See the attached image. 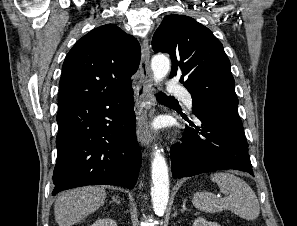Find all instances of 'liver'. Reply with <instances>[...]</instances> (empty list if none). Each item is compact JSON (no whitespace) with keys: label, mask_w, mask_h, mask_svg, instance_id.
<instances>
[{"label":"liver","mask_w":297,"mask_h":226,"mask_svg":"<svg viewBox=\"0 0 297 226\" xmlns=\"http://www.w3.org/2000/svg\"><path fill=\"white\" fill-rule=\"evenodd\" d=\"M105 198V190L96 186L64 192L54 205L55 220L59 226H72L99 209Z\"/></svg>","instance_id":"liver-1"}]
</instances>
